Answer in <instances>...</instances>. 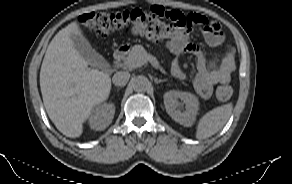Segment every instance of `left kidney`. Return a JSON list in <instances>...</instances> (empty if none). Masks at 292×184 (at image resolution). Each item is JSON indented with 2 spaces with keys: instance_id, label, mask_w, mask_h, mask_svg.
Returning a JSON list of instances; mask_svg holds the SVG:
<instances>
[{
  "instance_id": "5707ae66",
  "label": "left kidney",
  "mask_w": 292,
  "mask_h": 184,
  "mask_svg": "<svg viewBox=\"0 0 292 184\" xmlns=\"http://www.w3.org/2000/svg\"><path fill=\"white\" fill-rule=\"evenodd\" d=\"M164 105L168 115L179 124L190 127L196 118L199 110V101L197 97L189 92L171 90L164 94ZM179 99L185 104V111L181 112Z\"/></svg>"
}]
</instances>
